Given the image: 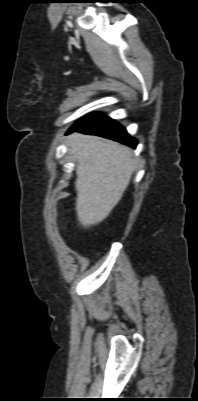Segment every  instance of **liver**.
Segmentation results:
<instances>
[{
    "label": "liver",
    "instance_id": "1",
    "mask_svg": "<svg viewBox=\"0 0 198 401\" xmlns=\"http://www.w3.org/2000/svg\"><path fill=\"white\" fill-rule=\"evenodd\" d=\"M69 145L77 161L75 209L79 223L87 228L110 214L138 161L130 148L100 137L74 133Z\"/></svg>",
    "mask_w": 198,
    "mask_h": 401
}]
</instances>
